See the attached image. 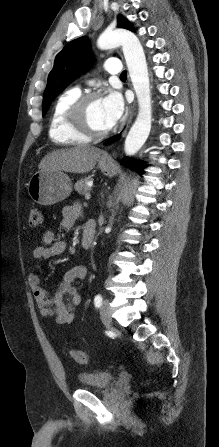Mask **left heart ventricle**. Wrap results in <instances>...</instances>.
<instances>
[{"instance_id":"b2bd125f","label":"left heart ventricle","mask_w":219,"mask_h":447,"mask_svg":"<svg viewBox=\"0 0 219 447\" xmlns=\"http://www.w3.org/2000/svg\"><path fill=\"white\" fill-rule=\"evenodd\" d=\"M89 120L96 129L104 130L109 128L105 120L100 99L91 104L89 108Z\"/></svg>"}]
</instances>
